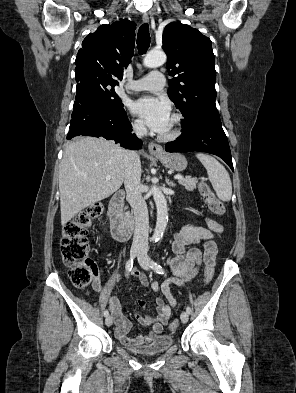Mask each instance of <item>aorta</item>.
<instances>
[{"instance_id": "obj_1", "label": "aorta", "mask_w": 296, "mask_h": 393, "mask_svg": "<svg viewBox=\"0 0 296 393\" xmlns=\"http://www.w3.org/2000/svg\"><path fill=\"white\" fill-rule=\"evenodd\" d=\"M166 61L163 51H150L144 58L143 64L148 68H157ZM151 192L157 208V222L152 240L157 241L164 233L168 223V207L164 194L157 186H152Z\"/></svg>"}]
</instances>
